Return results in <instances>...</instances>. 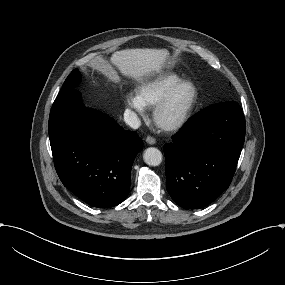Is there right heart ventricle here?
I'll return each mask as SVG.
<instances>
[{
    "mask_svg": "<svg viewBox=\"0 0 285 285\" xmlns=\"http://www.w3.org/2000/svg\"><path fill=\"white\" fill-rule=\"evenodd\" d=\"M182 77L174 73H161L142 83L137 89V95L148 108H154L164 95L178 82Z\"/></svg>",
    "mask_w": 285,
    "mask_h": 285,
    "instance_id": "right-heart-ventricle-1",
    "label": "right heart ventricle"
}]
</instances>
